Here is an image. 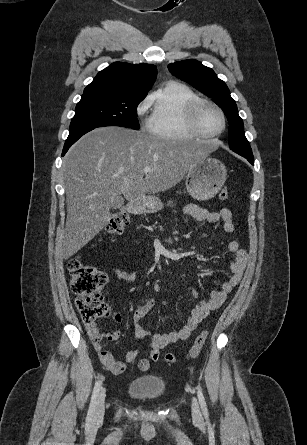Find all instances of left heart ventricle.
Instances as JSON below:
<instances>
[{"label": "left heart ventricle", "instance_id": "b2bd125f", "mask_svg": "<svg viewBox=\"0 0 307 445\" xmlns=\"http://www.w3.org/2000/svg\"><path fill=\"white\" fill-rule=\"evenodd\" d=\"M201 123L207 132L217 134L224 128V120L216 108L206 105L200 113Z\"/></svg>", "mask_w": 307, "mask_h": 445}]
</instances>
